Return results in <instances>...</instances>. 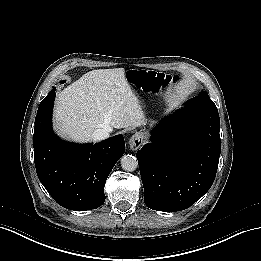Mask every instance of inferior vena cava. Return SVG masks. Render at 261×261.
<instances>
[{
	"label": "inferior vena cava",
	"instance_id": "obj_1",
	"mask_svg": "<svg viewBox=\"0 0 261 261\" xmlns=\"http://www.w3.org/2000/svg\"><path fill=\"white\" fill-rule=\"evenodd\" d=\"M112 131H113V129L111 127L96 129L92 134V140L94 142L104 140L109 137V133Z\"/></svg>",
	"mask_w": 261,
	"mask_h": 261
}]
</instances>
